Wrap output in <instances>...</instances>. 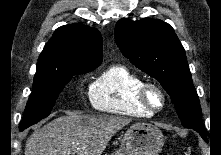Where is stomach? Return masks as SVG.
I'll return each mask as SVG.
<instances>
[{
	"label": "stomach",
	"mask_w": 221,
	"mask_h": 155,
	"mask_svg": "<svg viewBox=\"0 0 221 155\" xmlns=\"http://www.w3.org/2000/svg\"><path fill=\"white\" fill-rule=\"evenodd\" d=\"M163 146L164 137L159 128L139 123L126 131L120 148L111 155H159Z\"/></svg>",
	"instance_id": "obj_1"
}]
</instances>
